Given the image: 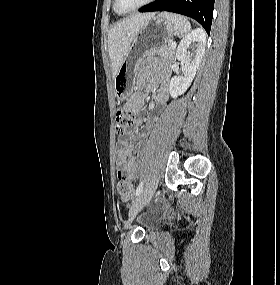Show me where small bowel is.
Returning a JSON list of instances; mask_svg holds the SVG:
<instances>
[{"label": "small bowel", "instance_id": "obj_1", "mask_svg": "<svg viewBox=\"0 0 280 285\" xmlns=\"http://www.w3.org/2000/svg\"><path fill=\"white\" fill-rule=\"evenodd\" d=\"M169 81L170 74L167 70L153 79H142V89L133 94L126 102L125 108L134 113H138L144 101L146 91L155 90V99L158 103L164 104L169 96ZM152 127V122L148 123L146 128L149 131ZM120 147L117 150V175L119 178H128L134 180L138 177V164L133 157L135 145L131 142L127 134L122 135L119 139Z\"/></svg>", "mask_w": 280, "mask_h": 285}]
</instances>
